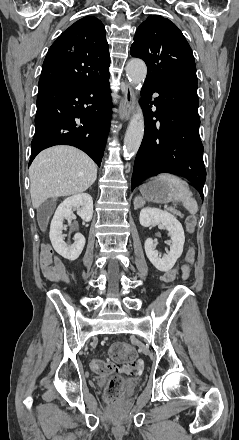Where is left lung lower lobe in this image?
<instances>
[{
    "instance_id": "0a47b994",
    "label": "left lung lower lobe",
    "mask_w": 239,
    "mask_h": 440,
    "mask_svg": "<svg viewBox=\"0 0 239 440\" xmlns=\"http://www.w3.org/2000/svg\"><path fill=\"white\" fill-rule=\"evenodd\" d=\"M154 92L159 97L149 105ZM141 95L145 132L134 163L132 189L145 178L171 173L191 181L203 198L206 170L199 136L197 83L146 79Z\"/></svg>"
}]
</instances>
